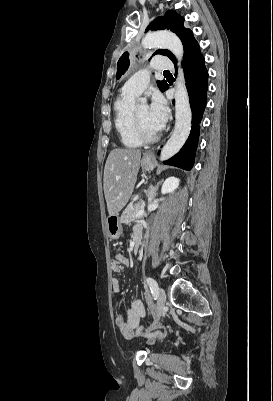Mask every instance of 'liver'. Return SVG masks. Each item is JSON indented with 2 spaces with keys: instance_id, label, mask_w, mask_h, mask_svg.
Segmentation results:
<instances>
[{
  "instance_id": "obj_1",
  "label": "liver",
  "mask_w": 273,
  "mask_h": 401,
  "mask_svg": "<svg viewBox=\"0 0 273 401\" xmlns=\"http://www.w3.org/2000/svg\"><path fill=\"white\" fill-rule=\"evenodd\" d=\"M141 152L135 148H113L104 168V194L109 217L127 205L140 168Z\"/></svg>"
}]
</instances>
